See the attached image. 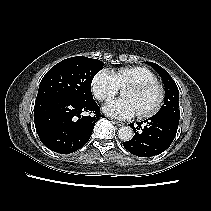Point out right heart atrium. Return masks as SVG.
<instances>
[{
    "label": "right heart atrium",
    "mask_w": 211,
    "mask_h": 211,
    "mask_svg": "<svg viewBox=\"0 0 211 211\" xmlns=\"http://www.w3.org/2000/svg\"><path fill=\"white\" fill-rule=\"evenodd\" d=\"M91 90L97 100L107 102L117 95L119 85L112 72L102 69L93 76Z\"/></svg>",
    "instance_id": "d8ad5b80"
}]
</instances>
